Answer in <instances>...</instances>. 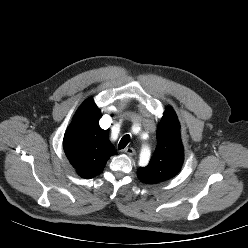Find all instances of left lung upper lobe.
<instances>
[{"label":"left lung upper lobe","instance_id":"obj_1","mask_svg":"<svg viewBox=\"0 0 248 248\" xmlns=\"http://www.w3.org/2000/svg\"><path fill=\"white\" fill-rule=\"evenodd\" d=\"M156 136L157 147L149 164L137 170L138 178L145 184H157L175 177L183 164L180 124L170 107L160 121Z\"/></svg>","mask_w":248,"mask_h":248}]
</instances>
